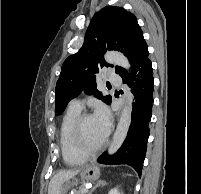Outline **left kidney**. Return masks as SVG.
<instances>
[{
	"instance_id": "1",
	"label": "left kidney",
	"mask_w": 201,
	"mask_h": 194,
	"mask_svg": "<svg viewBox=\"0 0 201 194\" xmlns=\"http://www.w3.org/2000/svg\"><path fill=\"white\" fill-rule=\"evenodd\" d=\"M108 194H122L118 191L117 188L111 189Z\"/></svg>"
}]
</instances>
